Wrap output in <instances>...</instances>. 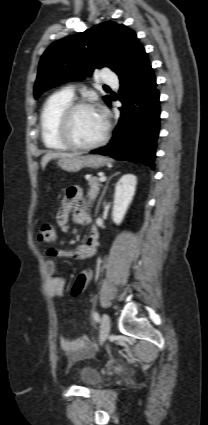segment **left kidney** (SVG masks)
<instances>
[{
	"mask_svg": "<svg viewBox=\"0 0 208 425\" xmlns=\"http://www.w3.org/2000/svg\"><path fill=\"white\" fill-rule=\"evenodd\" d=\"M137 177L133 174L123 175L115 186L112 220L119 225L135 195Z\"/></svg>",
	"mask_w": 208,
	"mask_h": 425,
	"instance_id": "1",
	"label": "left kidney"
}]
</instances>
